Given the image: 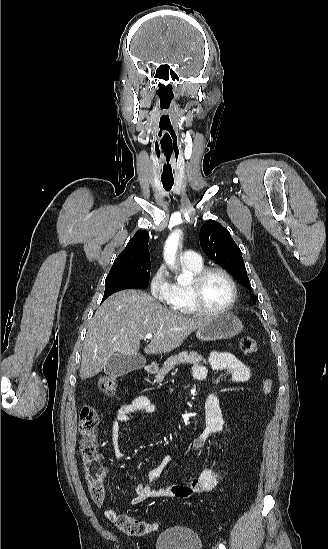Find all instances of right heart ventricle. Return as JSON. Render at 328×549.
<instances>
[{
	"label": "right heart ventricle",
	"instance_id": "right-heart-ventricle-1",
	"mask_svg": "<svg viewBox=\"0 0 328 549\" xmlns=\"http://www.w3.org/2000/svg\"><path fill=\"white\" fill-rule=\"evenodd\" d=\"M181 265L189 280L191 275L205 265V260L200 255H198L197 260L186 261L181 258ZM188 280L186 282L172 281L163 303H171V310H180V319H197L196 314L189 308L191 300L187 290Z\"/></svg>",
	"mask_w": 328,
	"mask_h": 549
}]
</instances>
